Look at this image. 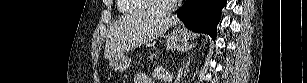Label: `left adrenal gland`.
Returning a JSON list of instances; mask_svg holds the SVG:
<instances>
[{"instance_id":"1","label":"left adrenal gland","mask_w":307,"mask_h":83,"mask_svg":"<svg viewBox=\"0 0 307 83\" xmlns=\"http://www.w3.org/2000/svg\"><path fill=\"white\" fill-rule=\"evenodd\" d=\"M189 72V69L185 70L184 75H186Z\"/></svg>"}]
</instances>
